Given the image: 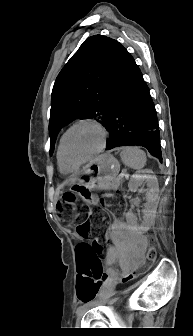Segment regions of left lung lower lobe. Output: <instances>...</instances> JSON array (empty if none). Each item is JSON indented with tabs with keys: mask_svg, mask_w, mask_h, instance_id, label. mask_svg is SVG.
Returning <instances> with one entry per match:
<instances>
[{
	"mask_svg": "<svg viewBox=\"0 0 193 336\" xmlns=\"http://www.w3.org/2000/svg\"><path fill=\"white\" fill-rule=\"evenodd\" d=\"M105 127L109 131L106 150L143 146L162 161L155 106L142 73L128 52Z\"/></svg>",
	"mask_w": 193,
	"mask_h": 336,
	"instance_id": "left-lung-lower-lobe-1",
	"label": "left lung lower lobe"
}]
</instances>
